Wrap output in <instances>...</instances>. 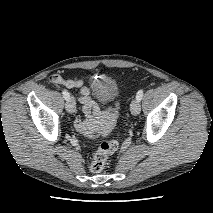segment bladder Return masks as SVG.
<instances>
[{
	"mask_svg": "<svg viewBox=\"0 0 213 213\" xmlns=\"http://www.w3.org/2000/svg\"><path fill=\"white\" fill-rule=\"evenodd\" d=\"M91 88L95 96L102 102L111 101L118 94L116 81L107 75H100L93 78Z\"/></svg>",
	"mask_w": 213,
	"mask_h": 213,
	"instance_id": "obj_1",
	"label": "bladder"
}]
</instances>
